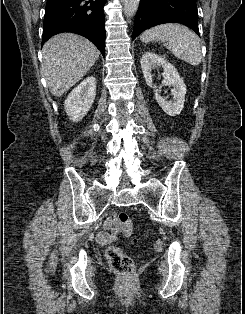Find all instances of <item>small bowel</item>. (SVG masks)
Listing matches in <instances>:
<instances>
[{
  "instance_id": "c3829d8e",
  "label": "small bowel",
  "mask_w": 245,
  "mask_h": 314,
  "mask_svg": "<svg viewBox=\"0 0 245 314\" xmlns=\"http://www.w3.org/2000/svg\"><path fill=\"white\" fill-rule=\"evenodd\" d=\"M119 231L120 227L116 220L112 217L108 218L104 222V230L97 233L96 239L102 245L111 244L117 241Z\"/></svg>"
}]
</instances>
